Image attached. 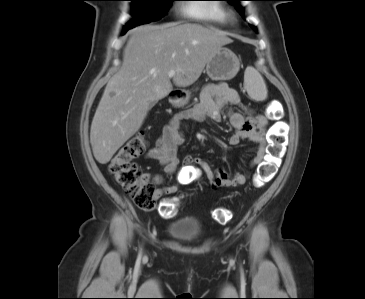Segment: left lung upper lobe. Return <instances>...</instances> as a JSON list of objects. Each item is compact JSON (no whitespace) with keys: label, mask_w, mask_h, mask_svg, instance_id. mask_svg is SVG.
<instances>
[{"label":"left lung upper lobe","mask_w":365,"mask_h":299,"mask_svg":"<svg viewBox=\"0 0 365 299\" xmlns=\"http://www.w3.org/2000/svg\"><path fill=\"white\" fill-rule=\"evenodd\" d=\"M226 1H229L231 4H235V7H236V9H237V11L241 14V15H243V8L241 7V6H239L238 5V2L239 1H243V0H226ZM251 27L253 28V30L255 31V32H257V29H256V27H254V26H252L251 25Z\"/></svg>","instance_id":"obj_1"}]
</instances>
